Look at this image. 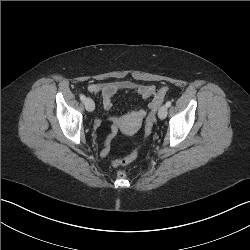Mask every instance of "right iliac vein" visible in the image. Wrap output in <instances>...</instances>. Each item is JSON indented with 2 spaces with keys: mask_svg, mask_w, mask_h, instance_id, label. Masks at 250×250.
Segmentation results:
<instances>
[{
  "mask_svg": "<svg viewBox=\"0 0 250 250\" xmlns=\"http://www.w3.org/2000/svg\"><path fill=\"white\" fill-rule=\"evenodd\" d=\"M84 105L87 111L92 112L95 109L94 101L91 98H87L84 101Z\"/></svg>",
  "mask_w": 250,
  "mask_h": 250,
  "instance_id": "obj_1",
  "label": "right iliac vein"
}]
</instances>
